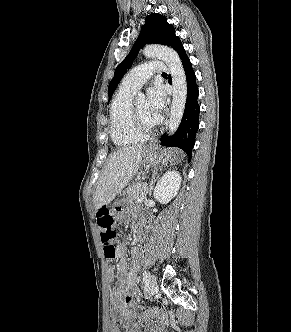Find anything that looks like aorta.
Listing matches in <instances>:
<instances>
[{
	"instance_id": "obj_1",
	"label": "aorta",
	"mask_w": 291,
	"mask_h": 332,
	"mask_svg": "<svg viewBox=\"0 0 291 332\" xmlns=\"http://www.w3.org/2000/svg\"><path fill=\"white\" fill-rule=\"evenodd\" d=\"M143 54L147 58H159L163 60L170 70L173 99L168 134L173 135L181 123L187 99V82L182 62L175 50L161 45H147L143 49ZM139 97L142 98L143 95L139 94Z\"/></svg>"
}]
</instances>
